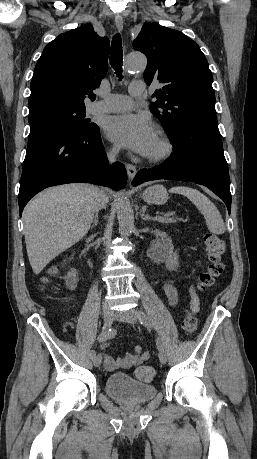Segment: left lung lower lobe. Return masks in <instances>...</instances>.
I'll return each mask as SVG.
<instances>
[{"label": "left lung lower lobe", "mask_w": 257, "mask_h": 459, "mask_svg": "<svg viewBox=\"0 0 257 459\" xmlns=\"http://www.w3.org/2000/svg\"><path fill=\"white\" fill-rule=\"evenodd\" d=\"M168 137L173 145L172 156L160 166L140 170L132 185L157 179L195 182L218 195L230 213L228 165L216 117L188 119L181 122Z\"/></svg>", "instance_id": "obj_1"}]
</instances>
